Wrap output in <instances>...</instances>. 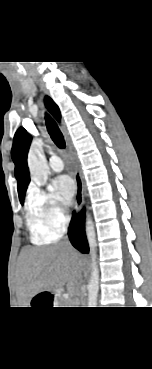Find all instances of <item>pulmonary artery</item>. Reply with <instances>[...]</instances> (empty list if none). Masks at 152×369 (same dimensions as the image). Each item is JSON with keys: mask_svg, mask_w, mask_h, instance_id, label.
Segmentation results:
<instances>
[{"mask_svg": "<svg viewBox=\"0 0 152 369\" xmlns=\"http://www.w3.org/2000/svg\"><path fill=\"white\" fill-rule=\"evenodd\" d=\"M49 164H50L51 169L55 172H60L64 168L63 161L58 155H53L50 158Z\"/></svg>", "mask_w": 152, "mask_h": 369, "instance_id": "obj_1", "label": "pulmonary artery"}]
</instances>
